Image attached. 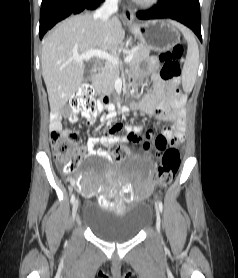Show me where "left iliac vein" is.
I'll list each match as a JSON object with an SVG mask.
<instances>
[{
    "label": "left iliac vein",
    "instance_id": "left-iliac-vein-1",
    "mask_svg": "<svg viewBox=\"0 0 238 278\" xmlns=\"http://www.w3.org/2000/svg\"><path fill=\"white\" fill-rule=\"evenodd\" d=\"M156 229L158 232H160V213L158 209L156 212Z\"/></svg>",
    "mask_w": 238,
    "mask_h": 278
}]
</instances>
